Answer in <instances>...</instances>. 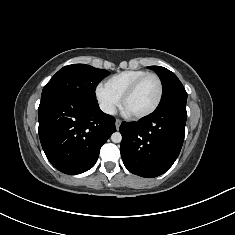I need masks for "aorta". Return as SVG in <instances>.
Here are the masks:
<instances>
[{
	"label": "aorta",
	"mask_w": 235,
	"mask_h": 235,
	"mask_svg": "<svg viewBox=\"0 0 235 235\" xmlns=\"http://www.w3.org/2000/svg\"><path fill=\"white\" fill-rule=\"evenodd\" d=\"M111 140L114 143H120L122 140V135L119 132H114L111 136Z\"/></svg>",
	"instance_id": "762f6f07"
}]
</instances>
